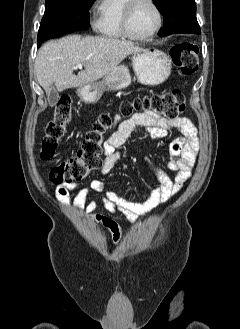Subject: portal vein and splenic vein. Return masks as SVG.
Listing matches in <instances>:
<instances>
[{"label": "portal vein and splenic vein", "mask_w": 240, "mask_h": 329, "mask_svg": "<svg viewBox=\"0 0 240 329\" xmlns=\"http://www.w3.org/2000/svg\"><path fill=\"white\" fill-rule=\"evenodd\" d=\"M75 68L77 69H82L83 68V64H77L76 66H75Z\"/></svg>", "instance_id": "1"}]
</instances>
